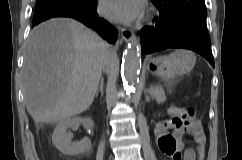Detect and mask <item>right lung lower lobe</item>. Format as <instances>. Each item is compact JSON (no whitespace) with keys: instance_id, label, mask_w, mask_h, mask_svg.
<instances>
[{"instance_id":"obj_1","label":"right lung lower lobe","mask_w":242,"mask_h":160,"mask_svg":"<svg viewBox=\"0 0 242 160\" xmlns=\"http://www.w3.org/2000/svg\"><path fill=\"white\" fill-rule=\"evenodd\" d=\"M97 0H90L85 5L54 3L35 10L32 26L54 17H69L81 21L95 29L107 41L117 40L118 31L105 20L98 17L96 12Z\"/></svg>"}]
</instances>
